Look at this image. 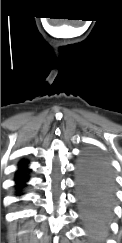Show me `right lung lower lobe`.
Here are the masks:
<instances>
[{
  "instance_id": "98d812e1",
  "label": "right lung lower lobe",
  "mask_w": 122,
  "mask_h": 243,
  "mask_svg": "<svg viewBox=\"0 0 122 243\" xmlns=\"http://www.w3.org/2000/svg\"><path fill=\"white\" fill-rule=\"evenodd\" d=\"M27 171L26 167H21L15 176V181H16V188H22L25 185V182L28 179V176H26L25 172Z\"/></svg>"
}]
</instances>
